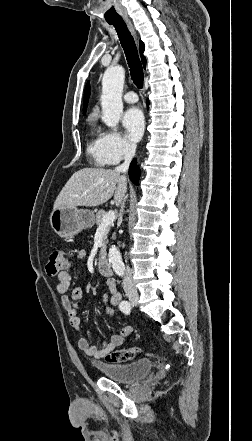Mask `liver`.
Instances as JSON below:
<instances>
[{
  "label": "liver",
  "mask_w": 252,
  "mask_h": 441,
  "mask_svg": "<svg viewBox=\"0 0 252 441\" xmlns=\"http://www.w3.org/2000/svg\"><path fill=\"white\" fill-rule=\"evenodd\" d=\"M117 185V186H116ZM127 181L112 169L83 168L67 181L54 203V208L95 207L114 194L117 206L126 197Z\"/></svg>",
  "instance_id": "1"
}]
</instances>
